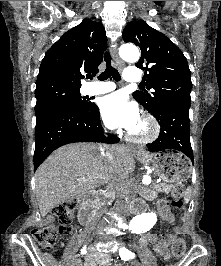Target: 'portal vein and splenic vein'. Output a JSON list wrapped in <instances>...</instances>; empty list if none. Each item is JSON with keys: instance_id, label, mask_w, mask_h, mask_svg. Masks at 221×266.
<instances>
[{"instance_id": "1", "label": "portal vein and splenic vein", "mask_w": 221, "mask_h": 266, "mask_svg": "<svg viewBox=\"0 0 221 266\" xmlns=\"http://www.w3.org/2000/svg\"><path fill=\"white\" fill-rule=\"evenodd\" d=\"M95 178V177H94ZM85 180V178H82V179H79L78 181H84Z\"/></svg>"}]
</instances>
